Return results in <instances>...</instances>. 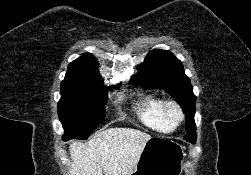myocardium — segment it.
<instances>
[{
  "mask_svg": "<svg viewBox=\"0 0 251 175\" xmlns=\"http://www.w3.org/2000/svg\"><path fill=\"white\" fill-rule=\"evenodd\" d=\"M162 111L165 120L172 122L174 128H177L185 120V111L177 101H165Z\"/></svg>",
  "mask_w": 251,
  "mask_h": 175,
  "instance_id": "myocardium-1",
  "label": "myocardium"
}]
</instances>
